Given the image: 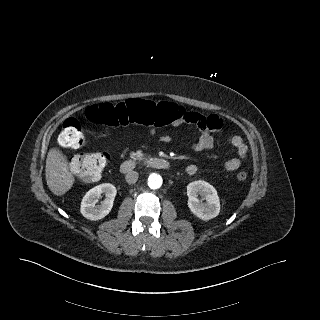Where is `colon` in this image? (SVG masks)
Listing matches in <instances>:
<instances>
[{"label": "colon", "instance_id": "1", "mask_svg": "<svg viewBox=\"0 0 320 320\" xmlns=\"http://www.w3.org/2000/svg\"><path fill=\"white\" fill-rule=\"evenodd\" d=\"M89 121L118 127L129 123L163 126L181 117L180 108L167 102L153 103L143 99H129L118 104L99 103L86 110ZM84 142L82 126L78 119L69 118L64 121L59 143L64 148H79ZM109 162L105 152L81 153L75 155L70 162L73 172L84 181H96L100 178ZM237 179L244 181L247 173L240 171Z\"/></svg>", "mask_w": 320, "mask_h": 320}]
</instances>
